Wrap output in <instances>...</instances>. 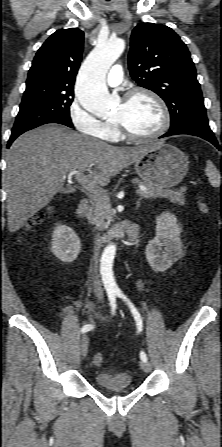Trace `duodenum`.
I'll return each mask as SVG.
<instances>
[{
  "label": "duodenum",
  "mask_w": 222,
  "mask_h": 447,
  "mask_svg": "<svg viewBox=\"0 0 222 447\" xmlns=\"http://www.w3.org/2000/svg\"><path fill=\"white\" fill-rule=\"evenodd\" d=\"M87 209L88 201L86 199L81 200L75 209V217L77 219H82ZM125 233L131 240H136L139 233L138 226L133 223H122L114 229L115 236L121 237Z\"/></svg>",
  "instance_id": "410a0bca"
}]
</instances>
